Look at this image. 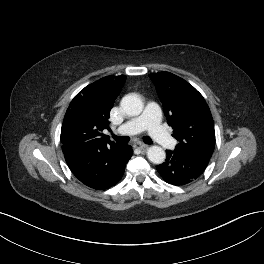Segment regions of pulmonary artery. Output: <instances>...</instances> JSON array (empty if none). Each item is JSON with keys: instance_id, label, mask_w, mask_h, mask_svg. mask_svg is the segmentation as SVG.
Returning <instances> with one entry per match:
<instances>
[{"instance_id": "pulmonary-artery-1", "label": "pulmonary artery", "mask_w": 264, "mask_h": 264, "mask_svg": "<svg viewBox=\"0 0 264 264\" xmlns=\"http://www.w3.org/2000/svg\"><path fill=\"white\" fill-rule=\"evenodd\" d=\"M161 110L156 103H149L144 113L121 125L119 134L134 135L147 129L151 137L163 148H170L174 145V139L164 130L161 124Z\"/></svg>"}]
</instances>
